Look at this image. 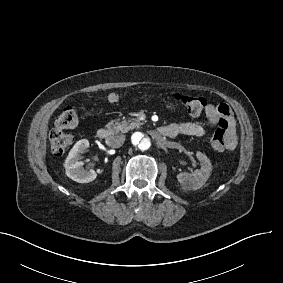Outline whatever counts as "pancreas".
Here are the masks:
<instances>
[{
    "label": "pancreas",
    "mask_w": 283,
    "mask_h": 283,
    "mask_svg": "<svg viewBox=\"0 0 283 283\" xmlns=\"http://www.w3.org/2000/svg\"><path fill=\"white\" fill-rule=\"evenodd\" d=\"M142 123L138 120L135 119H128V120H122L119 122L118 120H112L109 124L106 125V128L109 131H115V132H123L126 133L130 129L137 128L141 125Z\"/></svg>",
    "instance_id": "cf45deb5"
}]
</instances>
